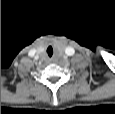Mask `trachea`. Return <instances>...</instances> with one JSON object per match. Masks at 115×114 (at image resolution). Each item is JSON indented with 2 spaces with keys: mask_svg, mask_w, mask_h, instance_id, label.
Masks as SVG:
<instances>
[{
  "mask_svg": "<svg viewBox=\"0 0 115 114\" xmlns=\"http://www.w3.org/2000/svg\"><path fill=\"white\" fill-rule=\"evenodd\" d=\"M47 53L50 57L53 55V48L51 46L47 48Z\"/></svg>",
  "mask_w": 115,
  "mask_h": 114,
  "instance_id": "1",
  "label": "trachea"
}]
</instances>
